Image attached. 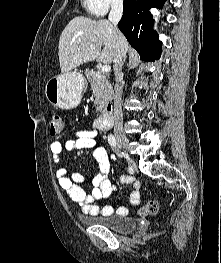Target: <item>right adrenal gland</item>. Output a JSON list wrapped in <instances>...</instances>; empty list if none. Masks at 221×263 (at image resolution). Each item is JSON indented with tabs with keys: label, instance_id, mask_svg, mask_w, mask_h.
<instances>
[{
	"label": "right adrenal gland",
	"instance_id": "2a0ac1e0",
	"mask_svg": "<svg viewBox=\"0 0 221 263\" xmlns=\"http://www.w3.org/2000/svg\"><path fill=\"white\" fill-rule=\"evenodd\" d=\"M125 61H126V58L123 59L122 64H121V68L123 67Z\"/></svg>",
	"mask_w": 221,
	"mask_h": 263
}]
</instances>
